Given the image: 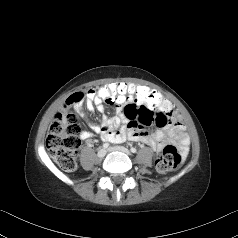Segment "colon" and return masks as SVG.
Segmentation results:
<instances>
[{
    "label": "colon",
    "instance_id": "5ec220e1",
    "mask_svg": "<svg viewBox=\"0 0 238 238\" xmlns=\"http://www.w3.org/2000/svg\"><path fill=\"white\" fill-rule=\"evenodd\" d=\"M95 94L101 103H128L143 105L153 110L164 104V99L151 86L134 85L133 83H107L104 86H95ZM83 93H75L67 99V107L82 101ZM140 119L147 125L153 124L152 111L143 108ZM80 126L77 117L69 111L59 112L50 126L46 139V146L51 158L65 171L73 172L77 168L76 153L80 144ZM181 162V154L175 145H167L156 160V169L169 172Z\"/></svg>",
    "mask_w": 238,
    "mask_h": 238
}]
</instances>
